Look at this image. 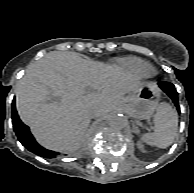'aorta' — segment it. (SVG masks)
I'll return each instance as SVG.
<instances>
[{
    "label": "aorta",
    "mask_w": 194,
    "mask_h": 193,
    "mask_svg": "<svg viewBox=\"0 0 194 193\" xmlns=\"http://www.w3.org/2000/svg\"><path fill=\"white\" fill-rule=\"evenodd\" d=\"M108 124L113 130H122L127 126V119L119 113H114L108 118Z\"/></svg>",
    "instance_id": "obj_1"
}]
</instances>
